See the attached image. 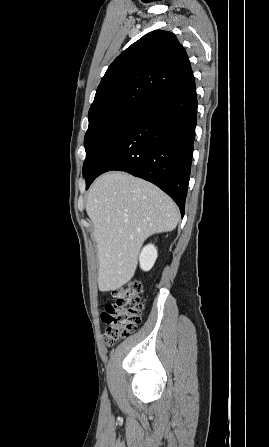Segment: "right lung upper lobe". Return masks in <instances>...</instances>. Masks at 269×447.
<instances>
[{"label": "right lung upper lobe", "instance_id": "obj_1", "mask_svg": "<svg viewBox=\"0 0 269 447\" xmlns=\"http://www.w3.org/2000/svg\"><path fill=\"white\" fill-rule=\"evenodd\" d=\"M190 70L187 53L172 32H150L109 66L88 117L123 106L143 105Z\"/></svg>", "mask_w": 269, "mask_h": 447}]
</instances>
